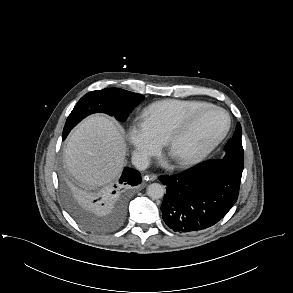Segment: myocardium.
Listing matches in <instances>:
<instances>
[{"label": "myocardium", "instance_id": "f54148a6", "mask_svg": "<svg viewBox=\"0 0 293 293\" xmlns=\"http://www.w3.org/2000/svg\"><path fill=\"white\" fill-rule=\"evenodd\" d=\"M209 110H215L218 112H221L225 115L226 118V124L224 129L216 136L214 137L209 143H207L202 148L183 156L176 160L177 164L180 166H190L194 165L200 161H202L204 158H206L218 145L219 143L227 136L230 127H231V118L229 113L216 105L209 104L207 106H204L202 108L197 109L196 111L190 113L188 116H186L177 126L173 128V130L170 132V134L166 138V147L170 151L174 145L182 139L186 133L190 130L192 125L195 123V121L200 117L203 113L209 111Z\"/></svg>", "mask_w": 293, "mask_h": 293}]
</instances>
